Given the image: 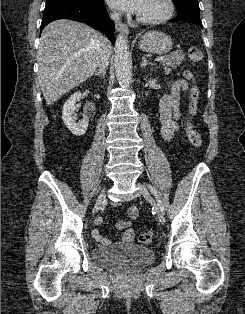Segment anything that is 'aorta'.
Returning <instances> with one entry per match:
<instances>
[{
    "mask_svg": "<svg viewBox=\"0 0 245 314\" xmlns=\"http://www.w3.org/2000/svg\"><path fill=\"white\" fill-rule=\"evenodd\" d=\"M115 73L119 84L129 88L131 82V61L127 36L120 34L115 42Z\"/></svg>",
    "mask_w": 245,
    "mask_h": 314,
    "instance_id": "obj_1",
    "label": "aorta"
}]
</instances>
